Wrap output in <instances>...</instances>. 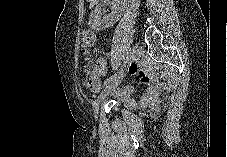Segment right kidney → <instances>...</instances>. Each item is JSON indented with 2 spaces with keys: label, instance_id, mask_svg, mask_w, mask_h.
<instances>
[{
  "label": "right kidney",
  "instance_id": "right-kidney-1",
  "mask_svg": "<svg viewBox=\"0 0 227 157\" xmlns=\"http://www.w3.org/2000/svg\"><path fill=\"white\" fill-rule=\"evenodd\" d=\"M94 15H96V17H98V20H100V21H102L101 23H103V20H101V17H100V15H101V9H100V7L98 6V7H96L95 8V10H94ZM114 18H116V17H114V16H107V17H105L104 19H106L107 21H113L114 20ZM105 21V20H104ZM106 23V22H105ZM111 23V22H110Z\"/></svg>",
  "mask_w": 227,
  "mask_h": 157
}]
</instances>
